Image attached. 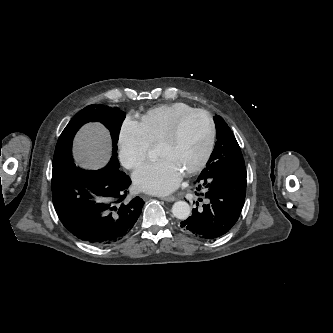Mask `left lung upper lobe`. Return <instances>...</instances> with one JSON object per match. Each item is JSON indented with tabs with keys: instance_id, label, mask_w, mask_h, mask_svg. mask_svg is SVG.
<instances>
[{
	"instance_id": "5c2ea615",
	"label": "left lung upper lobe",
	"mask_w": 333,
	"mask_h": 333,
	"mask_svg": "<svg viewBox=\"0 0 333 333\" xmlns=\"http://www.w3.org/2000/svg\"><path fill=\"white\" fill-rule=\"evenodd\" d=\"M216 125L217 142L203 171L210 173L218 169L223 173L245 170L241 149L232 131L220 116L213 117Z\"/></svg>"
}]
</instances>
